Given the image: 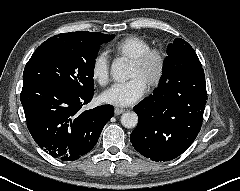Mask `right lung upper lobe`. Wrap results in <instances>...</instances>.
<instances>
[{"label":"right lung upper lobe","mask_w":240,"mask_h":191,"mask_svg":"<svg viewBox=\"0 0 240 191\" xmlns=\"http://www.w3.org/2000/svg\"><path fill=\"white\" fill-rule=\"evenodd\" d=\"M111 35H106L100 32H88V31H79V32H70L62 33L54 36L58 39L69 40V41H80V42H92L108 39Z\"/></svg>","instance_id":"cb5924a9"}]
</instances>
